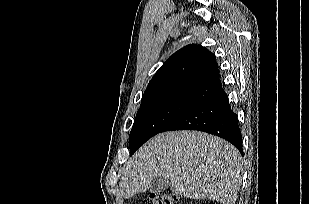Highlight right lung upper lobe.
Listing matches in <instances>:
<instances>
[{
    "label": "right lung upper lobe",
    "mask_w": 309,
    "mask_h": 204,
    "mask_svg": "<svg viewBox=\"0 0 309 204\" xmlns=\"http://www.w3.org/2000/svg\"><path fill=\"white\" fill-rule=\"evenodd\" d=\"M222 91L214 55L200 45L190 44L160 67L149 82L141 104L163 100L200 103Z\"/></svg>",
    "instance_id": "obj_1"
}]
</instances>
